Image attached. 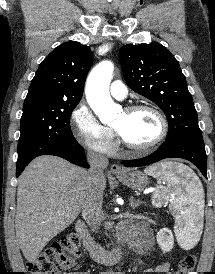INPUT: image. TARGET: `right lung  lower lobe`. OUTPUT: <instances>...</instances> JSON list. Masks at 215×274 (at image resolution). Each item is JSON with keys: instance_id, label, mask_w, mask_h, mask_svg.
<instances>
[{"instance_id": "1", "label": "right lung lower lobe", "mask_w": 215, "mask_h": 274, "mask_svg": "<svg viewBox=\"0 0 215 274\" xmlns=\"http://www.w3.org/2000/svg\"><path fill=\"white\" fill-rule=\"evenodd\" d=\"M40 155H55L61 158H64L70 161L73 164L89 168L87 162H85V152L84 149L78 142L73 144H65L60 146L51 147L39 153L37 156ZM35 156V157H37ZM35 157L31 158L28 161L23 163L17 164L16 176L18 177L22 171L24 170L25 166Z\"/></svg>"}]
</instances>
